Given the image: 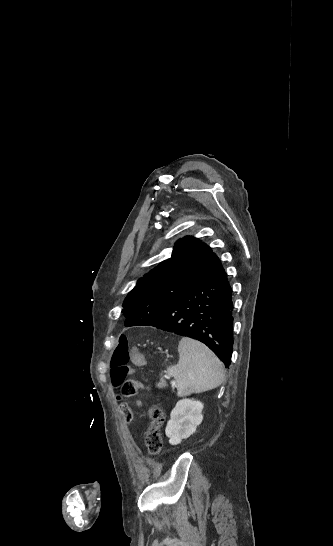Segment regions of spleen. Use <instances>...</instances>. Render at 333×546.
<instances>
[{"mask_svg": "<svg viewBox=\"0 0 333 546\" xmlns=\"http://www.w3.org/2000/svg\"><path fill=\"white\" fill-rule=\"evenodd\" d=\"M179 361L166 370L175 379L178 396L204 392L220 386L224 381V367L218 357L204 344L183 337L178 345ZM159 387L166 386L164 379Z\"/></svg>", "mask_w": 333, "mask_h": 546, "instance_id": "3e777b00", "label": "spleen"}]
</instances>
